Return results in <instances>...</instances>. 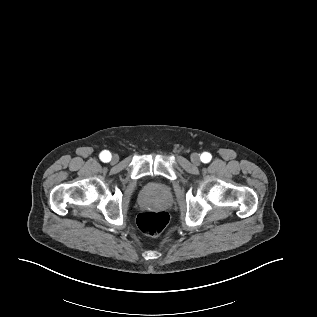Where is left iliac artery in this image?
<instances>
[{
  "label": "left iliac artery",
  "instance_id": "obj_1",
  "mask_svg": "<svg viewBox=\"0 0 317 317\" xmlns=\"http://www.w3.org/2000/svg\"><path fill=\"white\" fill-rule=\"evenodd\" d=\"M211 158H212V156H211V154L208 153V152L202 153V154H201V157H200V159H201V161H202L203 163H208V162L211 160Z\"/></svg>",
  "mask_w": 317,
  "mask_h": 317
}]
</instances>
